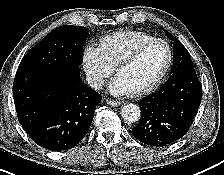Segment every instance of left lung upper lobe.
Returning a JSON list of instances; mask_svg holds the SVG:
<instances>
[{"mask_svg": "<svg viewBox=\"0 0 224 175\" xmlns=\"http://www.w3.org/2000/svg\"><path fill=\"white\" fill-rule=\"evenodd\" d=\"M170 40L173 42L174 62L171 73L185 67H192L193 63L187 49L169 32L164 30Z\"/></svg>", "mask_w": 224, "mask_h": 175, "instance_id": "5c2ea615", "label": "left lung upper lobe"}]
</instances>
